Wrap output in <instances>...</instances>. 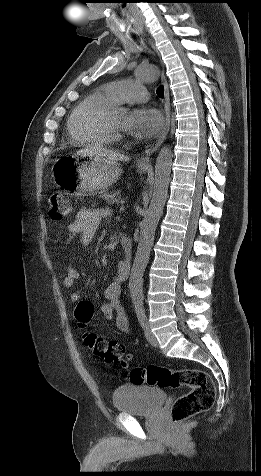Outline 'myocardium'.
Instances as JSON below:
<instances>
[{
  "instance_id": "obj_1",
  "label": "myocardium",
  "mask_w": 261,
  "mask_h": 476,
  "mask_svg": "<svg viewBox=\"0 0 261 476\" xmlns=\"http://www.w3.org/2000/svg\"><path fill=\"white\" fill-rule=\"evenodd\" d=\"M113 114H114V111L111 110L106 118H105V126H106V129L111 132L113 135H118V134H121L122 133V129L118 126L115 125V123L113 122Z\"/></svg>"
}]
</instances>
